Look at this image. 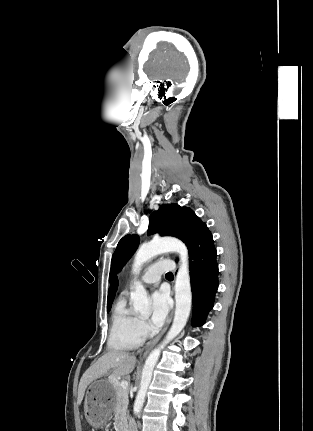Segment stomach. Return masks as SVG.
Returning <instances> with one entry per match:
<instances>
[{"instance_id": "stomach-1", "label": "stomach", "mask_w": 313, "mask_h": 431, "mask_svg": "<svg viewBox=\"0 0 313 431\" xmlns=\"http://www.w3.org/2000/svg\"><path fill=\"white\" fill-rule=\"evenodd\" d=\"M114 407V380L100 379L91 382L84 402L85 416L89 424L96 428L106 424Z\"/></svg>"}]
</instances>
